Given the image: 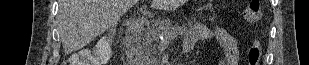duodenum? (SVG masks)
I'll list each match as a JSON object with an SVG mask.
<instances>
[{"label": "duodenum", "instance_id": "1", "mask_svg": "<svg viewBox=\"0 0 309 65\" xmlns=\"http://www.w3.org/2000/svg\"><path fill=\"white\" fill-rule=\"evenodd\" d=\"M147 23L148 18L146 17L135 19L134 21L129 23L125 30V41H130L131 39L136 37L146 27Z\"/></svg>", "mask_w": 309, "mask_h": 65}]
</instances>
